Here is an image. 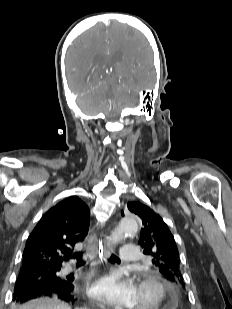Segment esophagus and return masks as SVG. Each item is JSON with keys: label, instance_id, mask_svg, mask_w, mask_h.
Returning <instances> with one entry per match:
<instances>
[{"label": "esophagus", "instance_id": "esophagus-1", "mask_svg": "<svg viewBox=\"0 0 232 309\" xmlns=\"http://www.w3.org/2000/svg\"><path fill=\"white\" fill-rule=\"evenodd\" d=\"M89 250H90V256L93 259L94 264L106 261L111 251V244L108 240V237L104 235L103 239L98 240L97 237L95 236Z\"/></svg>", "mask_w": 232, "mask_h": 309}]
</instances>
